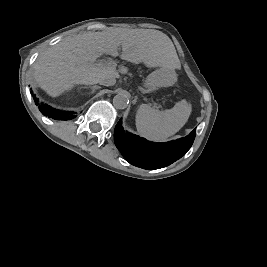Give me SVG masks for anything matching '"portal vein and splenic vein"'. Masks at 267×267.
<instances>
[{
	"label": "portal vein and splenic vein",
	"instance_id": "1",
	"mask_svg": "<svg viewBox=\"0 0 267 267\" xmlns=\"http://www.w3.org/2000/svg\"><path fill=\"white\" fill-rule=\"evenodd\" d=\"M109 64L115 67V64L114 63H109Z\"/></svg>",
	"mask_w": 267,
	"mask_h": 267
}]
</instances>
